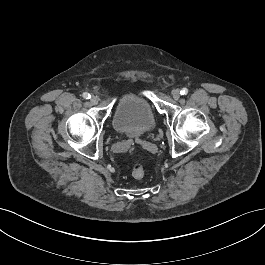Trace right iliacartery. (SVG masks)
<instances>
[{
	"mask_svg": "<svg viewBox=\"0 0 265 265\" xmlns=\"http://www.w3.org/2000/svg\"><path fill=\"white\" fill-rule=\"evenodd\" d=\"M82 96H83V98H85V99H90V98H91V95H90L89 93H87V92H84V93L82 94Z\"/></svg>",
	"mask_w": 265,
	"mask_h": 265,
	"instance_id": "right-iliac-artery-1",
	"label": "right iliac artery"
}]
</instances>
